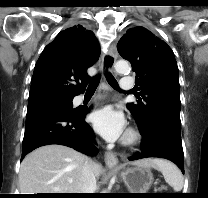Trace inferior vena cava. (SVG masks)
I'll return each instance as SVG.
<instances>
[{
    "label": "inferior vena cava",
    "instance_id": "inferior-vena-cava-1",
    "mask_svg": "<svg viewBox=\"0 0 208 198\" xmlns=\"http://www.w3.org/2000/svg\"><path fill=\"white\" fill-rule=\"evenodd\" d=\"M93 164L94 162L91 159H86L82 168L77 193H95L97 185L96 177L93 171Z\"/></svg>",
    "mask_w": 208,
    "mask_h": 198
}]
</instances>
